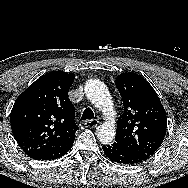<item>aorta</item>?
Segmentation results:
<instances>
[{
  "mask_svg": "<svg viewBox=\"0 0 188 188\" xmlns=\"http://www.w3.org/2000/svg\"><path fill=\"white\" fill-rule=\"evenodd\" d=\"M88 99L106 116L107 120L96 128V137L103 144H109L115 137L113 117L115 111L107 86L99 79H90L85 84Z\"/></svg>",
  "mask_w": 188,
  "mask_h": 188,
  "instance_id": "1",
  "label": "aorta"
}]
</instances>
